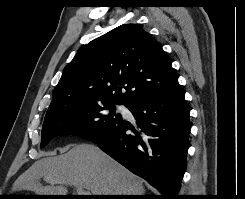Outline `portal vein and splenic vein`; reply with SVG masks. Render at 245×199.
Wrapping results in <instances>:
<instances>
[{
	"label": "portal vein and splenic vein",
	"instance_id": "portal-vein-and-splenic-vein-1",
	"mask_svg": "<svg viewBox=\"0 0 245 199\" xmlns=\"http://www.w3.org/2000/svg\"><path fill=\"white\" fill-rule=\"evenodd\" d=\"M76 190L79 193V195H91L90 191L88 190H84L82 187L80 186H76Z\"/></svg>",
	"mask_w": 245,
	"mask_h": 199
}]
</instances>
